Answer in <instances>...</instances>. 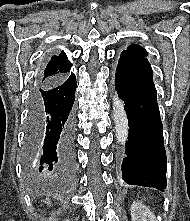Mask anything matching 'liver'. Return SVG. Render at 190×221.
I'll return each instance as SVG.
<instances>
[{
    "mask_svg": "<svg viewBox=\"0 0 190 221\" xmlns=\"http://www.w3.org/2000/svg\"><path fill=\"white\" fill-rule=\"evenodd\" d=\"M46 203H47V204H50V201H49V200H46Z\"/></svg>",
    "mask_w": 190,
    "mask_h": 221,
    "instance_id": "6515ba94",
    "label": "liver"
}]
</instances>
